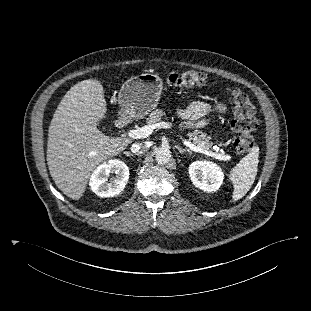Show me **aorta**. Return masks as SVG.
I'll return each instance as SVG.
<instances>
[{
	"instance_id": "obj_1",
	"label": "aorta",
	"mask_w": 311,
	"mask_h": 311,
	"mask_svg": "<svg viewBox=\"0 0 311 311\" xmlns=\"http://www.w3.org/2000/svg\"><path fill=\"white\" fill-rule=\"evenodd\" d=\"M155 158L158 164H166L171 159V152L167 148H159L156 152Z\"/></svg>"
}]
</instances>
